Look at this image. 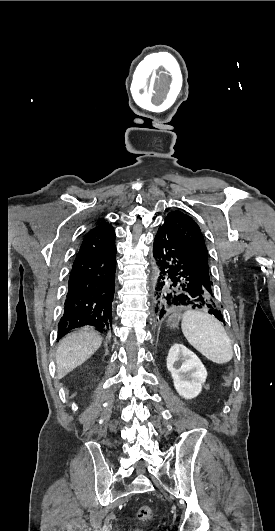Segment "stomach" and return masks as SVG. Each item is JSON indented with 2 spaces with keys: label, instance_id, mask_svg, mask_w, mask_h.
<instances>
[{
  "label": "stomach",
  "instance_id": "1",
  "mask_svg": "<svg viewBox=\"0 0 275 531\" xmlns=\"http://www.w3.org/2000/svg\"><path fill=\"white\" fill-rule=\"evenodd\" d=\"M180 319L181 313H173V315H170L166 321L167 327H171V329H177Z\"/></svg>",
  "mask_w": 275,
  "mask_h": 531
}]
</instances>
